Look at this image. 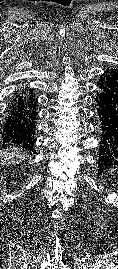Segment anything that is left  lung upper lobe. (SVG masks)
Returning <instances> with one entry per match:
<instances>
[{
  "instance_id": "1",
  "label": "left lung upper lobe",
  "mask_w": 118,
  "mask_h": 269,
  "mask_svg": "<svg viewBox=\"0 0 118 269\" xmlns=\"http://www.w3.org/2000/svg\"><path fill=\"white\" fill-rule=\"evenodd\" d=\"M100 83L113 91H118V71L115 69H106L101 77Z\"/></svg>"
}]
</instances>
